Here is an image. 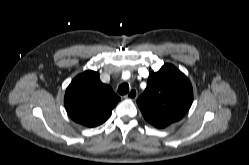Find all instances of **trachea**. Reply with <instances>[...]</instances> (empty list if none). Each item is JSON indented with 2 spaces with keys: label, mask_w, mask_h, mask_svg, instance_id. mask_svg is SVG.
Here are the masks:
<instances>
[{
  "label": "trachea",
  "mask_w": 249,
  "mask_h": 165,
  "mask_svg": "<svg viewBox=\"0 0 249 165\" xmlns=\"http://www.w3.org/2000/svg\"><path fill=\"white\" fill-rule=\"evenodd\" d=\"M129 92V85L127 83H122L121 85H119L118 87V93L120 95H125Z\"/></svg>",
  "instance_id": "3493384b"
}]
</instances>
